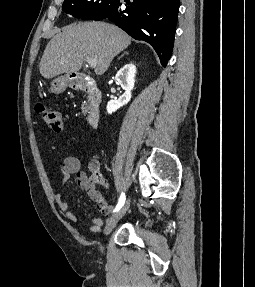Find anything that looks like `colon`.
<instances>
[{"label":"colon","instance_id":"obj_1","mask_svg":"<svg viewBox=\"0 0 255 287\" xmlns=\"http://www.w3.org/2000/svg\"><path fill=\"white\" fill-rule=\"evenodd\" d=\"M37 112H39L48 128L54 132H61L63 128L62 116L59 112L44 106L43 104H38L36 106ZM91 178L97 182L101 181L100 175L97 173V169L94 165L91 166Z\"/></svg>","mask_w":255,"mask_h":287}]
</instances>
